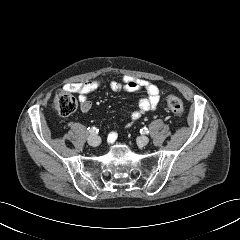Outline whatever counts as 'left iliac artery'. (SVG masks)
Here are the masks:
<instances>
[{
    "instance_id": "1",
    "label": "left iliac artery",
    "mask_w": 240,
    "mask_h": 240,
    "mask_svg": "<svg viewBox=\"0 0 240 240\" xmlns=\"http://www.w3.org/2000/svg\"><path fill=\"white\" fill-rule=\"evenodd\" d=\"M140 132L143 133V134H148L149 130L146 127H144L140 130Z\"/></svg>"
}]
</instances>
